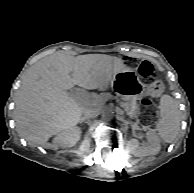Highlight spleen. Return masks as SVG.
Listing matches in <instances>:
<instances>
[{
	"label": "spleen",
	"mask_w": 194,
	"mask_h": 193,
	"mask_svg": "<svg viewBox=\"0 0 194 193\" xmlns=\"http://www.w3.org/2000/svg\"><path fill=\"white\" fill-rule=\"evenodd\" d=\"M181 116L177 102L169 95H163L160 100V119L156 129L159 136L172 143L180 130Z\"/></svg>",
	"instance_id": "3e777b00"
}]
</instances>
